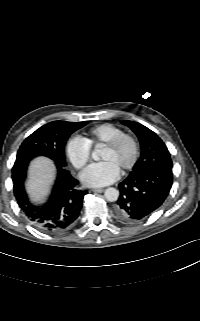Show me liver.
<instances>
[{
	"label": "liver",
	"instance_id": "liver-1",
	"mask_svg": "<svg viewBox=\"0 0 200 321\" xmlns=\"http://www.w3.org/2000/svg\"><path fill=\"white\" fill-rule=\"evenodd\" d=\"M27 191L35 200L42 199L55 177L53 162L45 157L36 158L30 165Z\"/></svg>",
	"mask_w": 200,
	"mask_h": 321
}]
</instances>
